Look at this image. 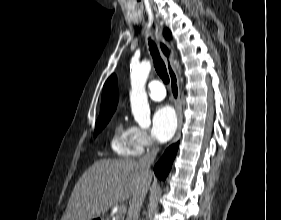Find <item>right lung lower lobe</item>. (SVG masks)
<instances>
[{
  "mask_svg": "<svg viewBox=\"0 0 281 220\" xmlns=\"http://www.w3.org/2000/svg\"><path fill=\"white\" fill-rule=\"evenodd\" d=\"M178 144L179 143L173 144L169 148H167L162 158L155 165L154 172L160 180H165V178L167 177L171 169L172 162L176 156Z\"/></svg>",
  "mask_w": 281,
  "mask_h": 220,
  "instance_id": "obj_1",
  "label": "right lung lower lobe"
}]
</instances>
